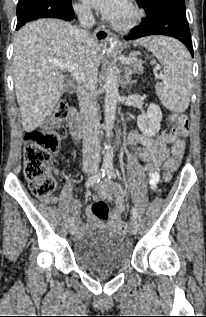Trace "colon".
Returning a JSON list of instances; mask_svg holds the SVG:
<instances>
[{
  "label": "colon",
  "instance_id": "obj_1",
  "mask_svg": "<svg viewBox=\"0 0 206 317\" xmlns=\"http://www.w3.org/2000/svg\"><path fill=\"white\" fill-rule=\"evenodd\" d=\"M70 116L67 104L61 103L55 110L52 119L41 128L26 134L24 151V173L30 185L31 192L39 198H49L55 188L56 181L51 175V167L54 154L58 151L60 141L65 136L64 123ZM173 124V132L179 137L187 135L189 130L188 118L183 113H174L170 116ZM184 153V143L179 140L173 146L171 157L166 161L167 172L174 171ZM93 214L100 220L110 218V211L103 201H96L92 206ZM112 229L119 233H125V223L116 221Z\"/></svg>",
  "mask_w": 206,
  "mask_h": 317
}]
</instances>
